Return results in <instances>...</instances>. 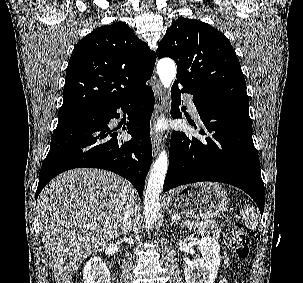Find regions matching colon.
<instances>
[{
	"mask_svg": "<svg viewBox=\"0 0 303 283\" xmlns=\"http://www.w3.org/2000/svg\"><path fill=\"white\" fill-rule=\"evenodd\" d=\"M231 246L239 259H246L250 251V239L243 226L235 223L230 235Z\"/></svg>",
	"mask_w": 303,
	"mask_h": 283,
	"instance_id": "colon-1",
	"label": "colon"
}]
</instances>
